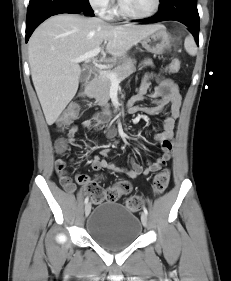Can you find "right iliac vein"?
Segmentation results:
<instances>
[{
	"mask_svg": "<svg viewBox=\"0 0 231 281\" xmlns=\"http://www.w3.org/2000/svg\"><path fill=\"white\" fill-rule=\"evenodd\" d=\"M90 212H91V204L88 203L85 206V216L87 217L90 214Z\"/></svg>",
	"mask_w": 231,
	"mask_h": 281,
	"instance_id": "1",
	"label": "right iliac vein"
}]
</instances>
